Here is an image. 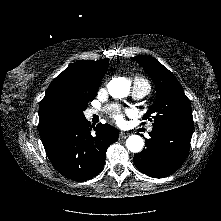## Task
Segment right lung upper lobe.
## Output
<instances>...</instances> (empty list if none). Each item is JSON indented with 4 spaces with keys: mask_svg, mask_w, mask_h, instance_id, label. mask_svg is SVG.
Segmentation results:
<instances>
[{
    "mask_svg": "<svg viewBox=\"0 0 221 221\" xmlns=\"http://www.w3.org/2000/svg\"><path fill=\"white\" fill-rule=\"evenodd\" d=\"M108 62L109 59L74 62L51 82L39 106L41 139L62 131L79 119L65 97L66 91L73 87L98 89Z\"/></svg>",
    "mask_w": 221,
    "mask_h": 221,
    "instance_id": "right-lung-upper-lobe-1",
    "label": "right lung upper lobe"
}]
</instances>
